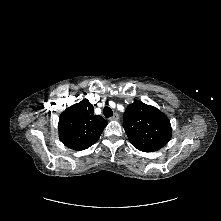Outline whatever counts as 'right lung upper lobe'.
Instances as JSON below:
<instances>
[{"label":"right lung upper lobe","instance_id":"1","mask_svg":"<svg viewBox=\"0 0 221 221\" xmlns=\"http://www.w3.org/2000/svg\"><path fill=\"white\" fill-rule=\"evenodd\" d=\"M107 121L94 114L87 99L67 108L59 117V138L64 145L74 150H85L100 137Z\"/></svg>","mask_w":221,"mask_h":221}]
</instances>
